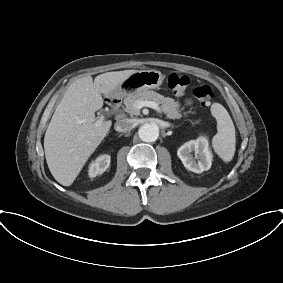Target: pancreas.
<instances>
[{"mask_svg":"<svg viewBox=\"0 0 283 283\" xmlns=\"http://www.w3.org/2000/svg\"><path fill=\"white\" fill-rule=\"evenodd\" d=\"M154 101L161 105L162 111L170 119H179L182 117L179 110L180 104L172 98L164 97L163 95L156 93L155 91L143 90L136 94H129L124 99L125 111L130 115H139L140 112L134 107L137 101Z\"/></svg>","mask_w":283,"mask_h":283,"instance_id":"obj_1","label":"pancreas"}]
</instances>
